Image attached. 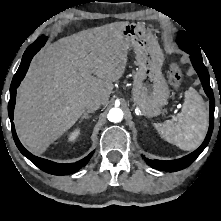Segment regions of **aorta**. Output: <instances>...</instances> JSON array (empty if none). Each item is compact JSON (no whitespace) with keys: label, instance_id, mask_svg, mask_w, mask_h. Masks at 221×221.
I'll use <instances>...</instances> for the list:
<instances>
[{"label":"aorta","instance_id":"1","mask_svg":"<svg viewBox=\"0 0 221 221\" xmlns=\"http://www.w3.org/2000/svg\"><path fill=\"white\" fill-rule=\"evenodd\" d=\"M123 111L120 108H111L107 115V118L110 122L119 123L123 119Z\"/></svg>","mask_w":221,"mask_h":221}]
</instances>
